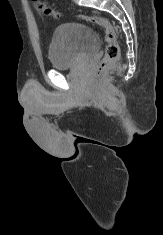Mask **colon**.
Returning a JSON list of instances; mask_svg holds the SVG:
<instances>
[{"label":"colon","instance_id":"5ec220e1","mask_svg":"<svg viewBox=\"0 0 163 235\" xmlns=\"http://www.w3.org/2000/svg\"><path fill=\"white\" fill-rule=\"evenodd\" d=\"M44 14L53 18H60V13L51 7L40 5ZM81 19L86 20L94 25L100 26L104 31V37L107 42L105 55L99 65L98 73H105L113 64H115L120 56V48L117 42V34L111 23L103 18L96 16L80 15Z\"/></svg>","mask_w":163,"mask_h":235}]
</instances>
